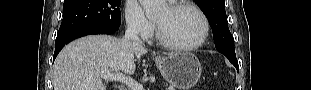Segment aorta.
<instances>
[{
    "instance_id": "762f6f07",
    "label": "aorta",
    "mask_w": 311,
    "mask_h": 90,
    "mask_svg": "<svg viewBox=\"0 0 311 90\" xmlns=\"http://www.w3.org/2000/svg\"><path fill=\"white\" fill-rule=\"evenodd\" d=\"M140 3L146 12V16L149 18L158 15L166 8L165 0H140Z\"/></svg>"
}]
</instances>
